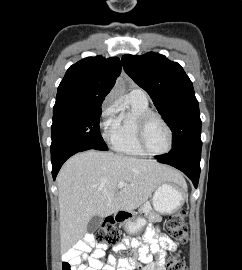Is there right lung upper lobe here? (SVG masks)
Here are the masks:
<instances>
[{"label":"right lung upper lobe","instance_id":"right-lung-upper-lobe-1","mask_svg":"<svg viewBox=\"0 0 242 270\" xmlns=\"http://www.w3.org/2000/svg\"><path fill=\"white\" fill-rule=\"evenodd\" d=\"M120 73L117 57H88L77 62L60 82L54 107L101 105Z\"/></svg>","mask_w":242,"mask_h":270}]
</instances>
